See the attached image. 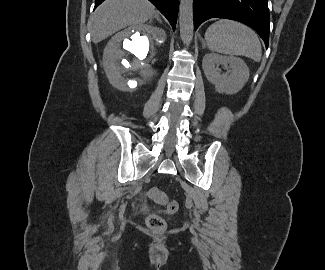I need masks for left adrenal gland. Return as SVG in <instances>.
<instances>
[{
	"instance_id": "left-adrenal-gland-1",
	"label": "left adrenal gland",
	"mask_w": 325,
	"mask_h": 270,
	"mask_svg": "<svg viewBox=\"0 0 325 270\" xmlns=\"http://www.w3.org/2000/svg\"><path fill=\"white\" fill-rule=\"evenodd\" d=\"M202 48L204 49V48H206V42L203 40V42H202Z\"/></svg>"
}]
</instances>
